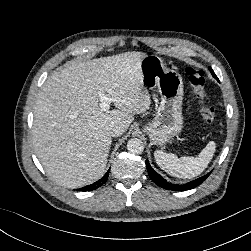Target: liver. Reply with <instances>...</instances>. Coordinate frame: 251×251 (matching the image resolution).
<instances>
[{
    "label": "liver",
    "mask_w": 251,
    "mask_h": 251,
    "mask_svg": "<svg viewBox=\"0 0 251 251\" xmlns=\"http://www.w3.org/2000/svg\"><path fill=\"white\" fill-rule=\"evenodd\" d=\"M146 56L133 51L71 61L43 84L34 107L33 145L59 185L74 189L99 179L112 144L110 129L125 132L134 114L150 108L140 70ZM99 93L113 98L117 109L101 112Z\"/></svg>",
    "instance_id": "liver-1"
}]
</instances>
